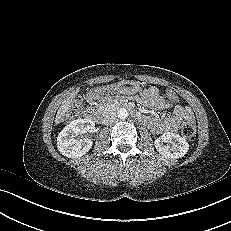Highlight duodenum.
<instances>
[{"mask_svg": "<svg viewBox=\"0 0 231 231\" xmlns=\"http://www.w3.org/2000/svg\"><path fill=\"white\" fill-rule=\"evenodd\" d=\"M115 109H130L133 112V115L138 119V120H143V116L135 109V106L130 103L126 102H119L114 105ZM108 112V109H103L100 110L98 113H95L93 111L89 112V118L93 122H100L102 118L106 116Z\"/></svg>", "mask_w": 231, "mask_h": 231, "instance_id": "duodenum-1", "label": "duodenum"}]
</instances>
